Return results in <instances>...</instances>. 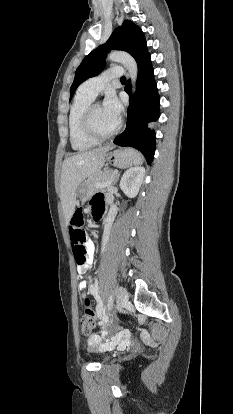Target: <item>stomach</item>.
Listing matches in <instances>:
<instances>
[{
    "label": "stomach",
    "instance_id": "0dacf381",
    "mask_svg": "<svg viewBox=\"0 0 233 414\" xmlns=\"http://www.w3.org/2000/svg\"><path fill=\"white\" fill-rule=\"evenodd\" d=\"M135 155L127 150H115L113 152H107L105 159L115 167L126 168L133 165L135 160ZM77 196L82 201L85 202L90 193L88 192L87 184H81L77 189Z\"/></svg>",
    "mask_w": 233,
    "mask_h": 414
}]
</instances>
